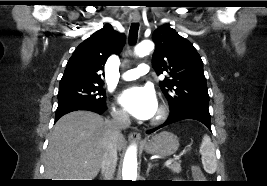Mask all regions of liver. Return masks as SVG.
<instances>
[{"label":"liver","mask_w":267,"mask_h":186,"mask_svg":"<svg viewBox=\"0 0 267 186\" xmlns=\"http://www.w3.org/2000/svg\"><path fill=\"white\" fill-rule=\"evenodd\" d=\"M108 134V120L89 111L64 115L49 137L44 166L45 178L92 180L100 170ZM125 139L118 140L122 149Z\"/></svg>","instance_id":"liver-1"}]
</instances>
